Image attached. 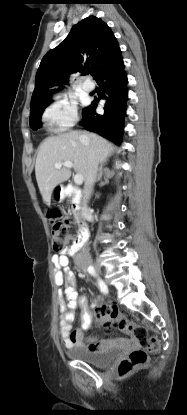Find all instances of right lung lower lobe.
Masks as SVG:
<instances>
[{"mask_svg": "<svg viewBox=\"0 0 187 415\" xmlns=\"http://www.w3.org/2000/svg\"><path fill=\"white\" fill-rule=\"evenodd\" d=\"M95 80L103 92L104 113H96L98 102L94 100L89 107L83 110L81 125L86 130L96 132L115 144H120L128 98L127 76L121 52L99 73Z\"/></svg>", "mask_w": 187, "mask_h": 415, "instance_id": "right-lung-lower-lobe-1", "label": "right lung lower lobe"}]
</instances>
